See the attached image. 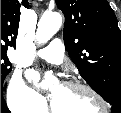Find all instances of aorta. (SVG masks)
I'll list each match as a JSON object with an SVG mask.
<instances>
[{"instance_id":"762f6f07","label":"aorta","mask_w":121,"mask_h":113,"mask_svg":"<svg viewBox=\"0 0 121 113\" xmlns=\"http://www.w3.org/2000/svg\"><path fill=\"white\" fill-rule=\"evenodd\" d=\"M62 24V16L59 13H46L38 22V28L36 32V39L38 43L44 44L50 40L53 35L59 30ZM51 80V76L46 77L44 85Z\"/></svg>"}]
</instances>
